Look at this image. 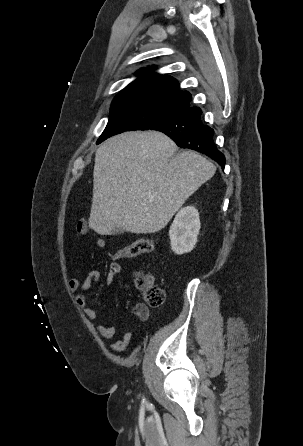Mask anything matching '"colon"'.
<instances>
[{"label": "colon", "instance_id": "5ec220e1", "mask_svg": "<svg viewBox=\"0 0 303 446\" xmlns=\"http://www.w3.org/2000/svg\"><path fill=\"white\" fill-rule=\"evenodd\" d=\"M155 249L154 242L150 239H138L124 248L118 250L113 258L115 260L134 258L141 254L151 253ZM136 285L143 290L146 303L149 306H159L164 300V291L161 287L152 284L142 276L136 277Z\"/></svg>", "mask_w": 303, "mask_h": 446}]
</instances>
